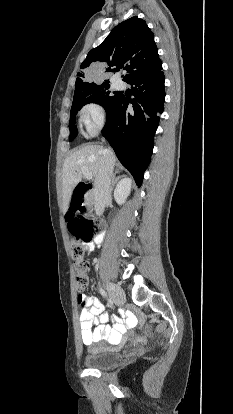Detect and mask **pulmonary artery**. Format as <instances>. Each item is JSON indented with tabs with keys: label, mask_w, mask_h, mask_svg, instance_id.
I'll list each match as a JSON object with an SVG mask.
<instances>
[{
	"label": "pulmonary artery",
	"mask_w": 233,
	"mask_h": 414,
	"mask_svg": "<svg viewBox=\"0 0 233 414\" xmlns=\"http://www.w3.org/2000/svg\"><path fill=\"white\" fill-rule=\"evenodd\" d=\"M117 87H118V88H122V87H123V84H122L121 82H118V83H117Z\"/></svg>",
	"instance_id": "1"
}]
</instances>
